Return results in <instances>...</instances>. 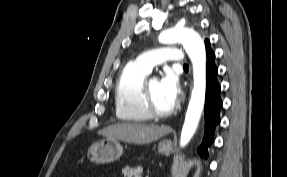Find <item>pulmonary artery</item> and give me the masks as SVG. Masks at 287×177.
Returning a JSON list of instances; mask_svg holds the SVG:
<instances>
[{"instance_id": "obj_1", "label": "pulmonary artery", "mask_w": 287, "mask_h": 177, "mask_svg": "<svg viewBox=\"0 0 287 177\" xmlns=\"http://www.w3.org/2000/svg\"><path fill=\"white\" fill-rule=\"evenodd\" d=\"M132 62L148 72H151L154 66L163 62H171L174 66H184L186 64L182 51L171 46L149 49Z\"/></svg>"}]
</instances>
